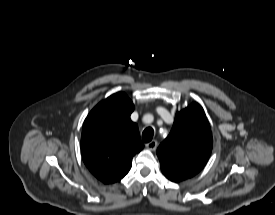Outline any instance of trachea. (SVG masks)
<instances>
[{
    "instance_id": "obj_1",
    "label": "trachea",
    "mask_w": 275,
    "mask_h": 215,
    "mask_svg": "<svg viewBox=\"0 0 275 215\" xmlns=\"http://www.w3.org/2000/svg\"><path fill=\"white\" fill-rule=\"evenodd\" d=\"M154 130L151 127L146 128L142 133V140L144 142H150L153 138Z\"/></svg>"
}]
</instances>
